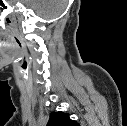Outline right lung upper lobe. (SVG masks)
<instances>
[{
    "mask_svg": "<svg viewBox=\"0 0 127 126\" xmlns=\"http://www.w3.org/2000/svg\"><path fill=\"white\" fill-rule=\"evenodd\" d=\"M47 126H79V124L64 112H52Z\"/></svg>",
    "mask_w": 127,
    "mask_h": 126,
    "instance_id": "1",
    "label": "right lung upper lobe"
}]
</instances>
